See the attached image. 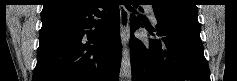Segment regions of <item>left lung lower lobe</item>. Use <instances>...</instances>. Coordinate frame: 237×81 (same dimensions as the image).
<instances>
[{
    "instance_id": "obj_1",
    "label": "left lung lower lobe",
    "mask_w": 237,
    "mask_h": 81,
    "mask_svg": "<svg viewBox=\"0 0 237 81\" xmlns=\"http://www.w3.org/2000/svg\"><path fill=\"white\" fill-rule=\"evenodd\" d=\"M155 16L159 39L143 43L131 35L132 81H210L198 20L182 16ZM144 25L155 37L154 29ZM140 26H143L141 21L131 15L132 31Z\"/></svg>"
}]
</instances>
